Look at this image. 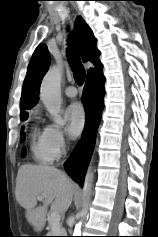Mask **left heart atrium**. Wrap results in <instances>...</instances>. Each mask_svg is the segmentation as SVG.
Returning a JSON list of instances; mask_svg holds the SVG:
<instances>
[{"label": "left heart atrium", "instance_id": "left-heart-atrium-1", "mask_svg": "<svg viewBox=\"0 0 158 237\" xmlns=\"http://www.w3.org/2000/svg\"><path fill=\"white\" fill-rule=\"evenodd\" d=\"M67 130L70 136L77 137L85 126V112L79 103L71 104L65 111Z\"/></svg>", "mask_w": 158, "mask_h": 237}]
</instances>
